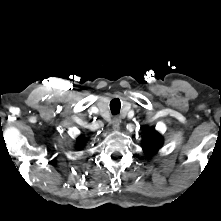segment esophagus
Masks as SVG:
<instances>
[{
    "instance_id": "1",
    "label": "esophagus",
    "mask_w": 221,
    "mask_h": 221,
    "mask_svg": "<svg viewBox=\"0 0 221 221\" xmlns=\"http://www.w3.org/2000/svg\"><path fill=\"white\" fill-rule=\"evenodd\" d=\"M120 119L118 117L114 118L113 121H112V126H113V129L114 130H119L120 128Z\"/></svg>"
}]
</instances>
